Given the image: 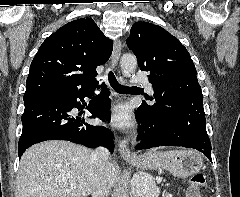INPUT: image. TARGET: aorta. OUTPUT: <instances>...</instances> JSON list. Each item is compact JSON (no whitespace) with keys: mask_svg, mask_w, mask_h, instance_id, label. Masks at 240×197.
Here are the masks:
<instances>
[{"mask_svg":"<svg viewBox=\"0 0 240 197\" xmlns=\"http://www.w3.org/2000/svg\"><path fill=\"white\" fill-rule=\"evenodd\" d=\"M120 63H121L122 74L126 77H129L137 67V59L132 54H124L121 57ZM142 182L145 189L143 190V193L141 195L145 197L146 194L150 191L151 183L148 176L142 177ZM120 197H128V195L126 194L125 191H123Z\"/></svg>","mask_w":240,"mask_h":197,"instance_id":"obj_1","label":"aorta"}]
</instances>
